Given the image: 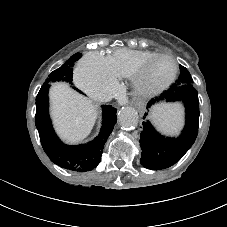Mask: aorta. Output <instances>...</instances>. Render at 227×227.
<instances>
[{"label": "aorta", "instance_id": "1", "mask_svg": "<svg viewBox=\"0 0 227 227\" xmlns=\"http://www.w3.org/2000/svg\"><path fill=\"white\" fill-rule=\"evenodd\" d=\"M118 121L124 130H132L138 124V114L132 107H124L120 110Z\"/></svg>", "mask_w": 227, "mask_h": 227}]
</instances>
